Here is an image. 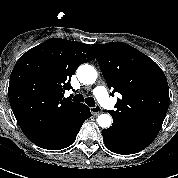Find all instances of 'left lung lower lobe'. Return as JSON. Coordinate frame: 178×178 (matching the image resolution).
Returning <instances> with one entry per match:
<instances>
[{"label": "left lung lower lobe", "instance_id": "left-lung-lower-lobe-1", "mask_svg": "<svg viewBox=\"0 0 178 178\" xmlns=\"http://www.w3.org/2000/svg\"><path fill=\"white\" fill-rule=\"evenodd\" d=\"M102 135L107 148L114 153L122 155L140 152L152 143L151 140L115 124H112L109 129H104Z\"/></svg>", "mask_w": 178, "mask_h": 178}]
</instances>
